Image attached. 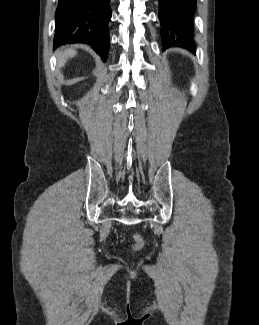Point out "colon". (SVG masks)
I'll return each instance as SVG.
<instances>
[{"label": "colon", "instance_id": "5ec220e1", "mask_svg": "<svg viewBox=\"0 0 259 325\" xmlns=\"http://www.w3.org/2000/svg\"><path fill=\"white\" fill-rule=\"evenodd\" d=\"M134 240H135V248H136V249L141 248L142 245H143V240L141 239V237L138 236V235H135V236H134Z\"/></svg>", "mask_w": 259, "mask_h": 325}]
</instances>
